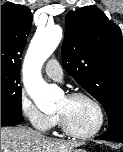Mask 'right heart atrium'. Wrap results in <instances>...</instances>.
Returning a JSON list of instances; mask_svg holds the SVG:
<instances>
[{
	"mask_svg": "<svg viewBox=\"0 0 123 152\" xmlns=\"http://www.w3.org/2000/svg\"><path fill=\"white\" fill-rule=\"evenodd\" d=\"M20 110L29 123L41 131L51 129L57 122V116L42 112L25 94L20 98Z\"/></svg>",
	"mask_w": 123,
	"mask_h": 152,
	"instance_id": "d8ad5b80",
	"label": "right heart atrium"
}]
</instances>
